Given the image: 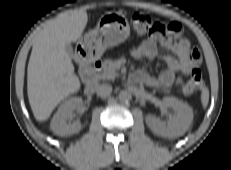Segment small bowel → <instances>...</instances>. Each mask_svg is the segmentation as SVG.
<instances>
[{
    "label": "small bowel",
    "mask_w": 231,
    "mask_h": 170,
    "mask_svg": "<svg viewBox=\"0 0 231 170\" xmlns=\"http://www.w3.org/2000/svg\"><path fill=\"white\" fill-rule=\"evenodd\" d=\"M158 45L171 51L174 56L164 55L165 68L154 77L140 69L133 75L136 81L149 87L169 88L179 85L182 77L188 75L201 61V53L191 48L190 42L182 37V26L177 21L166 25V35L160 39L150 38L132 50L137 60L154 59L159 56Z\"/></svg>",
    "instance_id": "small-bowel-1"
}]
</instances>
